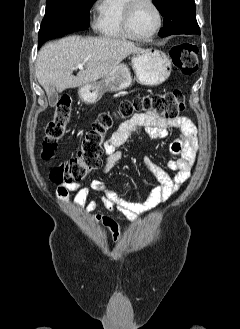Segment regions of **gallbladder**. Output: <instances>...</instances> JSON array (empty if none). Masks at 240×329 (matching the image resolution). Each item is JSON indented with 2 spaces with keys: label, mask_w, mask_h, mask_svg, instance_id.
<instances>
[{
  "label": "gallbladder",
  "mask_w": 240,
  "mask_h": 329,
  "mask_svg": "<svg viewBox=\"0 0 240 329\" xmlns=\"http://www.w3.org/2000/svg\"><path fill=\"white\" fill-rule=\"evenodd\" d=\"M57 100H58V95L56 92L53 91L50 96V105L54 106L57 103Z\"/></svg>",
  "instance_id": "bac80fb5"
}]
</instances>
